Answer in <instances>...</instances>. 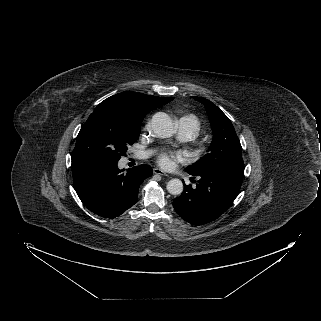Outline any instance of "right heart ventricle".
Masks as SVG:
<instances>
[{
    "mask_svg": "<svg viewBox=\"0 0 321 321\" xmlns=\"http://www.w3.org/2000/svg\"><path fill=\"white\" fill-rule=\"evenodd\" d=\"M181 119L190 122L191 124H193V125L196 127V129H198L199 126H200L199 119H198V117H197L196 115H194V114H187V115L183 116ZM181 119H180V120H181Z\"/></svg>",
    "mask_w": 321,
    "mask_h": 321,
    "instance_id": "e07e8e85",
    "label": "right heart ventricle"
}]
</instances>
